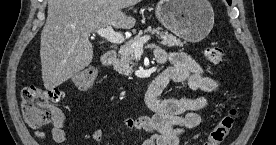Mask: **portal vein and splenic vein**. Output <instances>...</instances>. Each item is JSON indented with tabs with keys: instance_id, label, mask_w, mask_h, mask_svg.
Returning a JSON list of instances; mask_svg holds the SVG:
<instances>
[{
	"instance_id": "obj_1",
	"label": "portal vein and splenic vein",
	"mask_w": 276,
	"mask_h": 145,
	"mask_svg": "<svg viewBox=\"0 0 276 145\" xmlns=\"http://www.w3.org/2000/svg\"><path fill=\"white\" fill-rule=\"evenodd\" d=\"M96 33L107 39L111 43L115 44H121L125 41V38L122 34L115 32L111 26H107L104 28H100L96 30ZM150 36H143L139 40L134 41L131 44V47L133 48L134 51H140L143 49V45L150 40Z\"/></svg>"
}]
</instances>
